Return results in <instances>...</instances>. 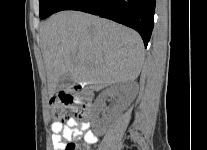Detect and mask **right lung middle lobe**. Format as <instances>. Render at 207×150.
Returning <instances> with one entry per match:
<instances>
[{"mask_svg": "<svg viewBox=\"0 0 207 150\" xmlns=\"http://www.w3.org/2000/svg\"><path fill=\"white\" fill-rule=\"evenodd\" d=\"M65 0H39L40 18L44 19L55 13Z\"/></svg>", "mask_w": 207, "mask_h": 150, "instance_id": "obj_1", "label": "right lung middle lobe"}]
</instances>
